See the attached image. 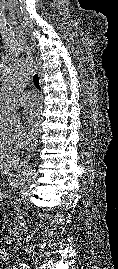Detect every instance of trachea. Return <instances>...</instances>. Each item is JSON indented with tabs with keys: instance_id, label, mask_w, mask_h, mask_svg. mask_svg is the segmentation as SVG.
Masks as SVG:
<instances>
[{
	"instance_id": "1",
	"label": "trachea",
	"mask_w": 118,
	"mask_h": 269,
	"mask_svg": "<svg viewBox=\"0 0 118 269\" xmlns=\"http://www.w3.org/2000/svg\"><path fill=\"white\" fill-rule=\"evenodd\" d=\"M33 82H34L35 87H36L37 89H40L39 77H38L37 74H35V75L33 76Z\"/></svg>"
}]
</instances>
